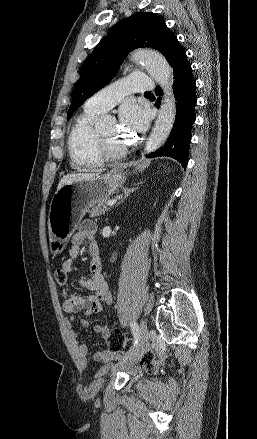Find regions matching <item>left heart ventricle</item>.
I'll list each match as a JSON object with an SVG mask.
<instances>
[{
  "instance_id": "b2bd125f",
  "label": "left heart ventricle",
  "mask_w": 257,
  "mask_h": 439,
  "mask_svg": "<svg viewBox=\"0 0 257 439\" xmlns=\"http://www.w3.org/2000/svg\"><path fill=\"white\" fill-rule=\"evenodd\" d=\"M108 144L113 148L124 146L122 139L119 137L117 125H111L101 131Z\"/></svg>"
}]
</instances>
